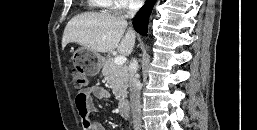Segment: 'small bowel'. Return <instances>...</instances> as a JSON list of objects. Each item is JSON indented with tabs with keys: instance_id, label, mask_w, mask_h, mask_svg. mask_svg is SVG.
Here are the masks:
<instances>
[{
	"instance_id": "c3829d8e",
	"label": "small bowel",
	"mask_w": 257,
	"mask_h": 130,
	"mask_svg": "<svg viewBox=\"0 0 257 130\" xmlns=\"http://www.w3.org/2000/svg\"><path fill=\"white\" fill-rule=\"evenodd\" d=\"M110 93L102 86L93 85L78 92L75 105L82 121L83 130H106L98 121H91L89 115L96 111L93 98L107 99Z\"/></svg>"
}]
</instances>
